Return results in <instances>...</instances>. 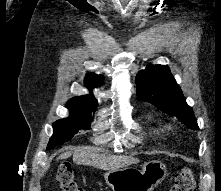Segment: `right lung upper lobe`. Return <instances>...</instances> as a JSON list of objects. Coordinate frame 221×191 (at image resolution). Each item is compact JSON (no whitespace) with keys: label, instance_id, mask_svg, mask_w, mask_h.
Here are the masks:
<instances>
[{"label":"right lung upper lobe","instance_id":"cb5924a9","mask_svg":"<svg viewBox=\"0 0 221 191\" xmlns=\"http://www.w3.org/2000/svg\"><path fill=\"white\" fill-rule=\"evenodd\" d=\"M102 76L96 74H87L85 77V85L91 90L102 84ZM66 107L69 111L78 112H94L97 107V100L93 95L78 96L70 99Z\"/></svg>","mask_w":221,"mask_h":191}]
</instances>
